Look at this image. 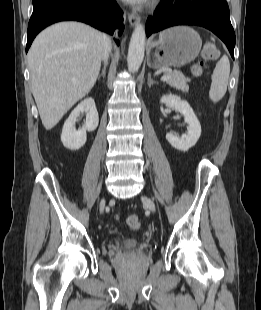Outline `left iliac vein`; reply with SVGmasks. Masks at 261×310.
Listing matches in <instances>:
<instances>
[{"label":"left iliac vein","mask_w":261,"mask_h":310,"mask_svg":"<svg viewBox=\"0 0 261 310\" xmlns=\"http://www.w3.org/2000/svg\"><path fill=\"white\" fill-rule=\"evenodd\" d=\"M142 201L152 212L155 211V204L150 198L143 196Z\"/></svg>","instance_id":"obj_1"}]
</instances>
